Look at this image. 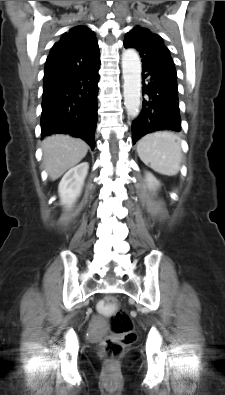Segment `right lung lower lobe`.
Returning <instances> with one entry per match:
<instances>
[{"label": "right lung lower lobe", "mask_w": 225, "mask_h": 395, "mask_svg": "<svg viewBox=\"0 0 225 395\" xmlns=\"http://www.w3.org/2000/svg\"><path fill=\"white\" fill-rule=\"evenodd\" d=\"M99 67L100 59L88 68L44 82L42 138L57 133L70 134L82 138L94 149Z\"/></svg>", "instance_id": "1"}]
</instances>
